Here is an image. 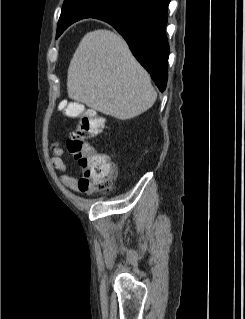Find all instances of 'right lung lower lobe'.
<instances>
[{
  "label": "right lung lower lobe",
  "mask_w": 245,
  "mask_h": 319,
  "mask_svg": "<svg viewBox=\"0 0 245 319\" xmlns=\"http://www.w3.org/2000/svg\"><path fill=\"white\" fill-rule=\"evenodd\" d=\"M170 0H126L93 18L111 24L150 73L161 92L166 88L169 45L165 34Z\"/></svg>",
  "instance_id": "1"
}]
</instances>
